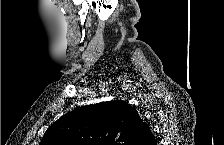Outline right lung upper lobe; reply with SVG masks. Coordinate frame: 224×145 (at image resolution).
I'll return each instance as SVG.
<instances>
[{
	"instance_id": "cb5924a9",
	"label": "right lung upper lobe",
	"mask_w": 224,
	"mask_h": 145,
	"mask_svg": "<svg viewBox=\"0 0 224 145\" xmlns=\"http://www.w3.org/2000/svg\"><path fill=\"white\" fill-rule=\"evenodd\" d=\"M40 145H157L149 125L125 101L87 105L65 114Z\"/></svg>"
}]
</instances>
